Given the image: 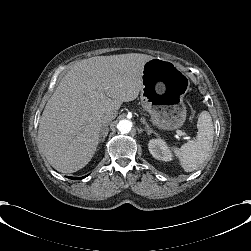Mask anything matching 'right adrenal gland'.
Returning a JSON list of instances; mask_svg holds the SVG:
<instances>
[{
    "mask_svg": "<svg viewBox=\"0 0 251 251\" xmlns=\"http://www.w3.org/2000/svg\"><path fill=\"white\" fill-rule=\"evenodd\" d=\"M109 133V128H108V125L105 124L101 127V130H100V135H99V142H104L105 141V138L107 137Z\"/></svg>",
    "mask_w": 251,
    "mask_h": 251,
    "instance_id": "1",
    "label": "right adrenal gland"
}]
</instances>
